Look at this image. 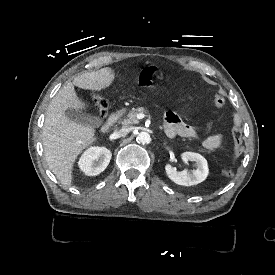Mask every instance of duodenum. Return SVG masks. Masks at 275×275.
<instances>
[{"label": "duodenum", "instance_id": "obj_1", "mask_svg": "<svg viewBox=\"0 0 275 275\" xmlns=\"http://www.w3.org/2000/svg\"><path fill=\"white\" fill-rule=\"evenodd\" d=\"M119 112H114L112 113L107 120L103 123L101 127V132L102 133H108L116 124L118 118H119Z\"/></svg>", "mask_w": 275, "mask_h": 275}]
</instances>
